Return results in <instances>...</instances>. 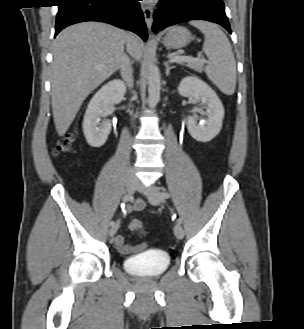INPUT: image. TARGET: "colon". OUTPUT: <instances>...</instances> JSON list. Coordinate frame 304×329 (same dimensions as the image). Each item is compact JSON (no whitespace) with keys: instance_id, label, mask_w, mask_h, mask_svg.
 <instances>
[{"instance_id":"obj_1","label":"colon","mask_w":304,"mask_h":329,"mask_svg":"<svg viewBox=\"0 0 304 329\" xmlns=\"http://www.w3.org/2000/svg\"><path fill=\"white\" fill-rule=\"evenodd\" d=\"M74 142H75V136L73 133H69L65 135L62 139H60L54 149V155L60 156V155H66L74 150ZM129 229L132 232L143 234L144 228L143 224L139 220H131L129 223Z\"/></svg>"}]
</instances>
